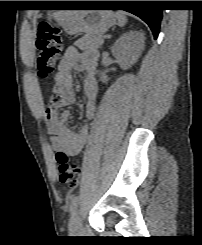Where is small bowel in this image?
I'll return each mask as SVG.
<instances>
[{
	"mask_svg": "<svg viewBox=\"0 0 202 245\" xmlns=\"http://www.w3.org/2000/svg\"><path fill=\"white\" fill-rule=\"evenodd\" d=\"M96 55L81 52L76 47H68L61 59L58 72L54 77V97L48 101L45 108V119L52 134L51 146L54 152H65L69 156H76L82 152L87 141V125L78 131L68 126L71 118L69 111H61L64 106L75 102L73 91V72H85L82 90L86 98L85 118L90 120L96 110L98 84L95 77Z\"/></svg>",
	"mask_w": 202,
	"mask_h": 245,
	"instance_id": "small-bowel-1",
	"label": "small bowel"
}]
</instances>
